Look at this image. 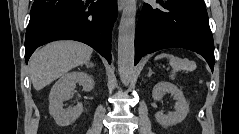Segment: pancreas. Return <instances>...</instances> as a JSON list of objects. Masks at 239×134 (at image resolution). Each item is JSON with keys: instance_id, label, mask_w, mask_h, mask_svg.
Listing matches in <instances>:
<instances>
[{"instance_id": "1", "label": "pancreas", "mask_w": 239, "mask_h": 134, "mask_svg": "<svg viewBox=\"0 0 239 134\" xmlns=\"http://www.w3.org/2000/svg\"><path fill=\"white\" fill-rule=\"evenodd\" d=\"M171 78L174 79V75H172Z\"/></svg>"}]
</instances>
